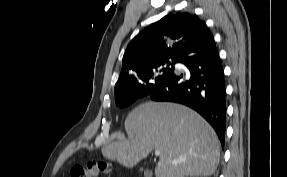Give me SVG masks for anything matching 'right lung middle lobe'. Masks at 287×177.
<instances>
[{
	"label": "right lung middle lobe",
	"mask_w": 287,
	"mask_h": 177,
	"mask_svg": "<svg viewBox=\"0 0 287 177\" xmlns=\"http://www.w3.org/2000/svg\"><path fill=\"white\" fill-rule=\"evenodd\" d=\"M178 60H163L148 69L141 81L133 86L115 87V102L120 107H127L143 97L156 83L162 81L174 71L173 64Z\"/></svg>",
	"instance_id": "1"
}]
</instances>
